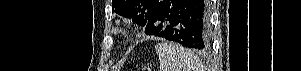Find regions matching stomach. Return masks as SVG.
Wrapping results in <instances>:
<instances>
[{
    "label": "stomach",
    "mask_w": 301,
    "mask_h": 71,
    "mask_svg": "<svg viewBox=\"0 0 301 71\" xmlns=\"http://www.w3.org/2000/svg\"><path fill=\"white\" fill-rule=\"evenodd\" d=\"M147 69V71H152L151 69H152V66H151V64H150V67L148 66V68H146Z\"/></svg>",
    "instance_id": "0dacf381"
}]
</instances>
